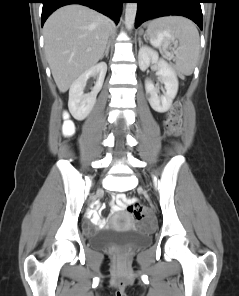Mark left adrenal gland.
<instances>
[{
  "label": "left adrenal gland",
  "mask_w": 239,
  "mask_h": 296,
  "mask_svg": "<svg viewBox=\"0 0 239 296\" xmlns=\"http://www.w3.org/2000/svg\"><path fill=\"white\" fill-rule=\"evenodd\" d=\"M138 41H139V46H141V43H142L141 37L138 38Z\"/></svg>",
  "instance_id": "1"
}]
</instances>
